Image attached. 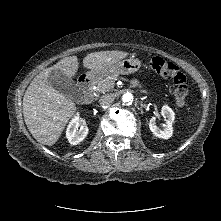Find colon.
Here are the masks:
<instances>
[{
	"mask_svg": "<svg viewBox=\"0 0 221 221\" xmlns=\"http://www.w3.org/2000/svg\"><path fill=\"white\" fill-rule=\"evenodd\" d=\"M149 64L157 74L173 81L176 102L180 107H184L188 95L187 76L177 65L159 56L151 58Z\"/></svg>",
	"mask_w": 221,
	"mask_h": 221,
	"instance_id": "5ec220e1",
	"label": "colon"
}]
</instances>
